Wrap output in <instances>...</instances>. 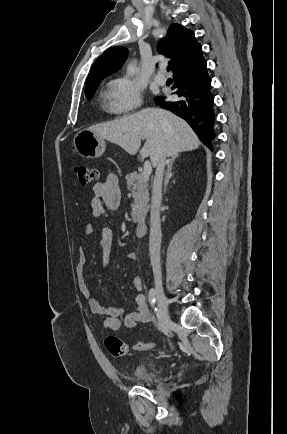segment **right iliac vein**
I'll use <instances>...</instances> for the list:
<instances>
[{
	"label": "right iliac vein",
	"mask_w": 287,
	"mask_h": 434,
	"mask_svg": "<svg viewBox=\"0 0 287 434\" xmlns=\"http://www.w3.org/2000/svg\"><path fill=\"white\" fill-rule=\"evenodd\" d=\"M155 295L159 307V315L163 326H168L171 322L169 311H168V300L164 294L162 285L160 282L155 284Z\"/></svg>",
	"instance_id": "obj_1"
}]
</instances>
